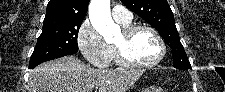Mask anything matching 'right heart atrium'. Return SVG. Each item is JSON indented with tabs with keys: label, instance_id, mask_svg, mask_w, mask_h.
<instances>
[{
	"label": "right heart atrium",
	"instance_id": "obj_1",
	"mask_svg": "<svg viewBox=\"0 0 225 92\" xmlns=\"http://www.w3.org/2000/svg\"><path fill=\"white\" fill-rule=\"evenodd\" d=\"M77 43L85 59L95 67H107L112 60L108 44L89 19H85L77 33Z\"/></svg>",
	"mask_w": 225,
	"mask_h": 92
}]
</instances>
